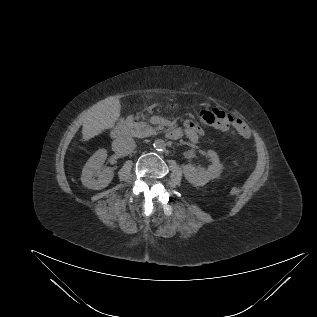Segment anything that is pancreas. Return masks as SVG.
<instances>
[{
  "mask_svg": "<svg viewBox=\"0 0 317 317\" xmlns=\"http://www.w3.org/2000/svg\"><path fill=\"white\" fill-rule=\"evenodd\" d=\"M140 119H144V116L130 117L127 119L125 129L127 135L143 138L156 133L155 128L151 127L147 122L140 121Z\"/></svg>",
  "mask_w": 317,
  "mask_h": 317,
  "instance_id": "pancreas-1",
  "label": "pancreas"
}]
</instances>
